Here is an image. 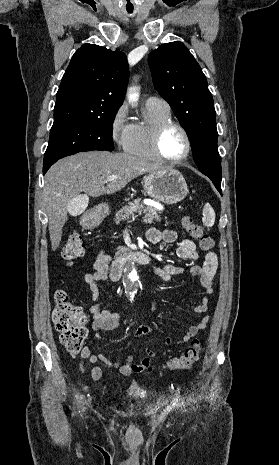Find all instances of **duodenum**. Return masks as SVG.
I'll return each instance as SVG.
<instances>
[{
  "label": "duodenum",
  "mask_w": 279,
  "mask_h": 465,
  "mask_svg": "<svg viewBox=\"0 0 279 465\" xmlns=\"http://www.w3.org/2000/svg\"><path fill=\"white\" fill-rule=\"evenodd\" d=\"M134 261L138 262L141 264H148L150 261V258L148 254L145 251L139 250V251H128V250H123L115 260L112 268V279L114 281L119 280L122 271L125 267V264Z\"/></svg>",
  "instance_id": "duodenum-1"
}]
</instances>
